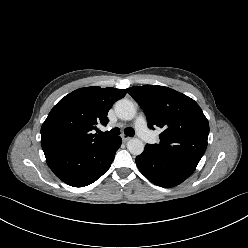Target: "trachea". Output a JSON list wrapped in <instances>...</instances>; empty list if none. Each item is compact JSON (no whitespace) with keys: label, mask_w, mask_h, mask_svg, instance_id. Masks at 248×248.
<instances>
[{"label":"trachea","mask_w":248,"mask_h":248,"mask_svg":"<svg viewBox=\"0 0 248 248\" xmlns=\"http://www.w3.org/2000/svg\"><path fill=\"white\" fill-rule=\"evenodd\" d=\"M125 134L129 135V136H134L135 132L132 128H126L125 129ZM100 135H105V136H116L120 134V130L119 128H113L112 130L108 131V132H100Z\"/></svg>","instance_id":"1"}]
</instances>
